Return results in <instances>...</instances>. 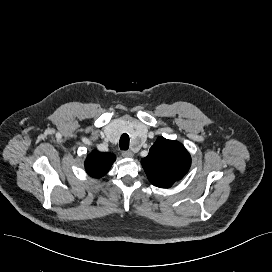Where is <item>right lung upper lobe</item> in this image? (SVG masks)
<instances>
[{
    "instance_id": "1",
    "label": "right lung upper lobe",
    "mask_w": 272,
    "mask_h": 272,
    "mask_svg": "<svg viewBox=\"0 0 272 272\" xmlns=\"http://www.w3.org/2000/svg\"><path fill=\"white\" fill-rule=\"evenodd\" d=\"M116 156L112 153H102L93 151L85 161V169L87 173L95 178L104 176L115 161Z\"/></svg>"
}]
</instances>
